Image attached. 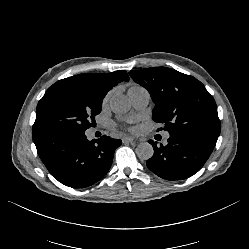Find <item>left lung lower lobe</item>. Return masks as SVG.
Wrapping results in <instances>:
<instances>
[{
    "label": "left lung lower lobe",
    "instance_id": "left-lung-lower-lobe-1",
    "mask_svg": "<svg viewBox=\"0 0 249 249\" xmlns=\"http://www.w3.org/2000/svg\"><path fill=\"white\" fill-rule=\"evenodd\" d=\"M166 146L149 140L154 148L147 167L166 180H182L197 173L211 155L218 136L194 130L169 133Z\"/></svg>",
    "mask_w": 249,
    "mask_h": 249
}]
</instances>
